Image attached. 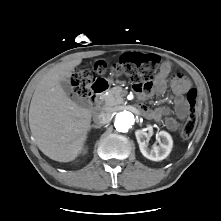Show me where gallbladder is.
<instances>
[{"label":"gallbladder","mask_w":221,"mask_h":221,"mask_svg":"<svg viewBox=\"0 0 221 221\" xmlns=\"http://www.w3.org/2000/svg\"><path fill=\"white\" fill-rule=\"evenodd\" d=\"M60 84H61L62 89H63L67 94L72 93L73 88H72L71 83H70V81H69L68 79H62L61 82H60Z\"/></svg>","instance_id":"bac80fb5"}]
</instances>
